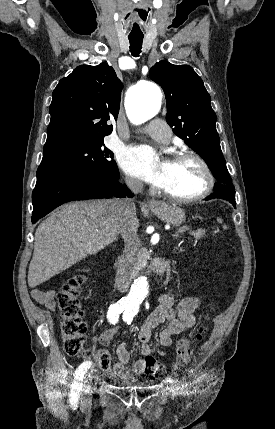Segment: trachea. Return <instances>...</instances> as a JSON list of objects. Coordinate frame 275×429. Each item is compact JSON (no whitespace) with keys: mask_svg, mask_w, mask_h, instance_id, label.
<instances>
[{"mask_svg":"<svg viewBox=\"0 0 275 429\" xmlns=\"http://www.w3.org/2000/svg\"><path fill=\"white\" fill-rule=\"evenodd\" d=\"M143 37H129L130 52L134 57H138L141 53Z\"/></svg>","mask_w":275,"mask_h":429,"instance_id":"3493384b","label":"trachea"}]
</instances>
